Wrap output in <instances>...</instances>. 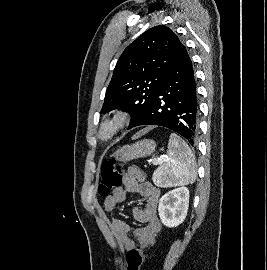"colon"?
<instances>
[{
	"label": "colon",
	"mask_w": 267,
	"mask_h": 270,
	"mask_svg": "<svg viewBox=\"0 0 267 270\" xmlns=\"http://www.w3.org/2000/svg\"><path fill=\"white\" fill-rule=\"evenodd\" d=\"M123 180L122 168L114 159H107L101 165V182L98 188L101 196L115 192ZM144 261V250L138 244L126 254V270H141Z\"/></svg>",
	"instance_id": "5ec220e1"
}]
</instances>
